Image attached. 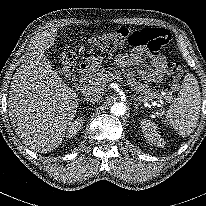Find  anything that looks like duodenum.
Returning a JSON list of instances; mask_svg holds the SVG:
<instances>
[{"label":"duodenum","mask_w":206,"mask_h":206,"mask_svg":"<svg viewBox=\"0 0 206 206\" xmlns=\"http://www.w3.org/2000/svg\"><path fill=\"white\" fill-rule=\"evenodd\" d=\"M87 71L88 69L82 65L76 66V78L81 79L86 74Z\"/></svg>","instance_id":"410a0bca"}]
</instances>
